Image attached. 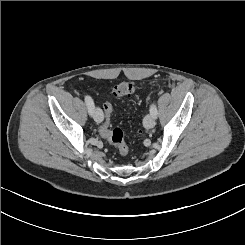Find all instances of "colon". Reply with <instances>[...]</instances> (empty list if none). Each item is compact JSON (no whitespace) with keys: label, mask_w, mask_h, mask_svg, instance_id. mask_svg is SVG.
Returning a JSON list of instances; mask_svg holds the SVG:
<instances>
[{"label":"colon","mask_w":245,"mask_h":245,"mask_svg":"<svg viewBox=\"0 0 245 245\" xmlns=\"http://www.w3.org/2000/svg\"><path fill=\"white\" fill-rule=\"evenodd\" d=\"M136 89V84L133 81L123 79L117 85H115V87L113 88V94L116 97H126L132 95L136 91ZM112 111V105L110 103H105V119L99 126V132L102 137H104L110 144L118 149L120 155L126 156L128 154V146L125 143L122 130L118 128L111 129L110 126V116L112 114Z\"/></svg>","instance_id":"colon-1"}]
</instances>
